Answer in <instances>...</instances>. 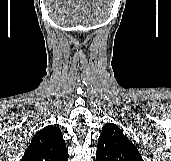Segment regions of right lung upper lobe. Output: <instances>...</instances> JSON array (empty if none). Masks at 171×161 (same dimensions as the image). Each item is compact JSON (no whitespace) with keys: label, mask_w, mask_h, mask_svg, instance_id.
Segmentation results:
<instances>
[{"label":"right lung upper lobe","mask_w":171,"mask_h":161,"mask_svg":"<svg viewBox=\"0 0 171 161\" xmlns=\"http://www.w3.org/2000/svg\"><path fill=\"white\" fill-rule=\"evenodd\" d=\"M21 161H68V151L60 129L50 125L40 130Z\"/></svg>","instance_id":"obj_1"}]
</instances>
